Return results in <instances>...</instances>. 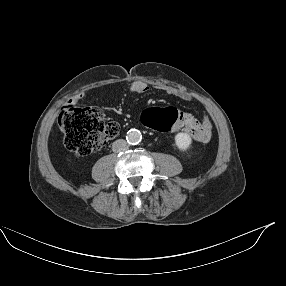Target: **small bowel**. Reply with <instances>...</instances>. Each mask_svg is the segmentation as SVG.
<instances>
[{
  "instance_id": "small-bowel-1",
  "label": "small bowel",
  "mask_w": 286,
  "mask_h": 286,
  "mask_svg": "<svg viewBox=\"0 0 286 286\" xmlns=\"http://www.w3.org/2000/svg\"><path fill=\"white\" fill-rule=\"evenodd\" d=\"M163 91L168 94L176 95L184 100H191L192 95L184 90L177 89L172 86H163ZM149 91V86L143 81H135L131 84L129 92L131 94H142ZM174 109V108H172ZM176 110V109H175ZM178 119L168 130H182L190 135V137L199 143H206L212 135L213 124L211 119L204 115L200 121L196 120L191 114L178 111Z\"/></svg>"
}]
</instances>
